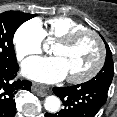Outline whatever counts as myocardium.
Wrapping results in <instances>:
<instances>
[{
  "label": "myocardium",
  "mask_w": 117,
  "mask_h": 117,
  "mask_svg": "<svg viewBox=\"0 0 117 117\" xmlns=\"http://www.w3.org/2000/svg\"><path fill=\"white\" fill-rule=\"evenodd\" d=\"M85 35H90L96 40L98 44V48H99L98 59L95 65L93 66V68H91L85 74L80 75V76H75V77L68 76L67 81L73 84H80V83L87 82L91 80L92 78H94L100 72V70L102 69L104 65L105 57H106V50H105L104 42L97 32L90 30V29H82V30H77V31L68 33L67 35L59 38L56 41V44H59L61 46H70L80 37L85 36Z\"/></svg>",
  "instance_id": "obj_1"
}]
</instances>
